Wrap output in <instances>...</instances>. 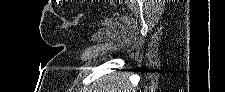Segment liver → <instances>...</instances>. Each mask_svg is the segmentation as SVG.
<instances>
[{
  "label": "liver",
  "mask_w": 225,
  "mask_h": 92,
  "mask_svg": "<svg viewBox=\"0 0 225 92\" xmlns=\"http://www.w3.org/2000/svg\"><path fill=\"white\" fill-rule=\"evenodd\" d=\"M131 85L128 75L124 73H113L96 81L94 92H130Z\"/></svg>",
  "instance_id": "obj_1"
}]
</instances>
